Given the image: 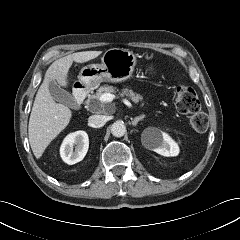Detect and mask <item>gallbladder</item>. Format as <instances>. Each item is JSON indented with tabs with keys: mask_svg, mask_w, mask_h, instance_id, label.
Here are the masks:
<instances>
[{
	"mask_svg": "<svg viewBox=\"0 0 240 240\" xmlns=\"http://www.w3.org/2000/svg\"><path fill=\"white\" fill-rule=\"evenodd\" d=\"M48 89H49L51 97L55 101L65 105V106H68L72 109L79 108V105H78L76 99L68 91L61 88L60 85H58V83L55 80H51L49 82Z\"/></svg>",
	"mask_w": 240,
	"mask_h": 240,
	"instance_id": "gallbladder-1",
	"label": "gallbladder"
}]
</instances>
